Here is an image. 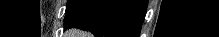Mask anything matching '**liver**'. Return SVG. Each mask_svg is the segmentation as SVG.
I'll return each mask as SVG.
<instances>
[{
	"mask_svg": "<svg viewBox=\"0 0 219 37\" xmlns=\"http://www.w3.org/2000/svg\"><path fill=\"white\" fill-rule=\"evenodd\" d=\"M67 37H88L87 35H89L88 33H84L80 30H76V29H72L70 32H68Z\"/></svg>",
	"mask_w": 219,
	"mask_h": 37,
	"instance_id": "liver-1",
	"label": "liver"
}]
</instances>
